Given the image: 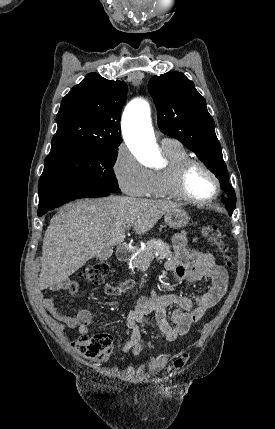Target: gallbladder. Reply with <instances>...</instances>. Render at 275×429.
<instances>
[{
	"label": "gallbladder",
	"instance_id": "bac80fb5",
	"mask_svg": "<svg viewBox=\"0 0 275 429\" xmlns=\"http://www.w3.org/2000/svg\"><path fill=\"white\" fill-rule=\"evenodd\" d=\"M112 253H113V248L106 247L99 254H97L95 258L96 260H99V261H105L112 256Z\"/></svg>",
	"mask_w": 275,
	"mask_h": 429
}]
</instances>
